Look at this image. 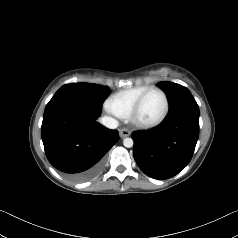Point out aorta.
<instances>
[{"label":"aorta","mask_w":238,"mask_h":238,"mask_svg":"<svg viewBox=\"0 0 238 238\" xmlns=\"http://www.w3.org/2000/svg\"><path fill=\"white\" fill-rule=\"evenodd\" d=\"M123 145H124L126 148H131V147H133V145H134V141H133L132 138H125V139L123 140Z\"/></svg>","instance_id":"762f6f07"}]
</instances>
